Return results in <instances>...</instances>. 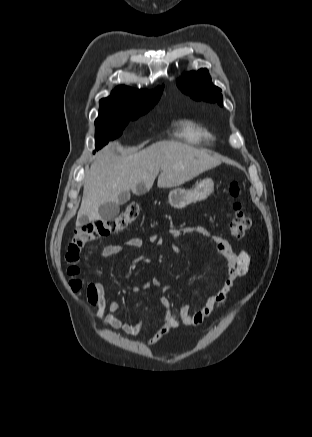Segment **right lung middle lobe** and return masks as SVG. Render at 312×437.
I'll return each mask as SVG.
<instances>
[{"label":"right lung middle lobe","instance_id":"obj_1","mask_svg":"<svg viewBox=\"0 0 312 437\" xmlns=\"http://www.w3.org/2000/svg\"><path fill=\"white\" fill-rule=\"evenodd\" d=\"M139 116L140 115L135 117H119L99 115L95 120L96 148L99 149L106 145L109 140L120 136L128 122L137 119Z\"/></svg>","mask_w":312,"mask_h":437}]
</instances>
